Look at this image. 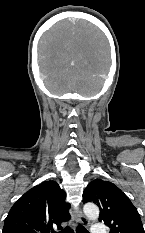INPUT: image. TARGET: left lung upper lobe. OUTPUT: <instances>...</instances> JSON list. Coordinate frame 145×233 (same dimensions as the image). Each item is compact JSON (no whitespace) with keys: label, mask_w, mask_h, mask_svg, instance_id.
<instances>
[{"label":"left lung upper lobe","mask_w":145,"mask_h":233,"mask_svg":"<svg viewBox=\"0 0 145 233\" xmlns=\"http://www.w3.org/2000/svg\"><path fill=\"white\" fill-rule=\"evenodd\" d=\"M94 202L100 208L99 221L110 233H145L140 215L130 199L113 183L95 179L83 193V203Z\"/></svg>","instance_id":"5c2ea615"}]
</instances>
